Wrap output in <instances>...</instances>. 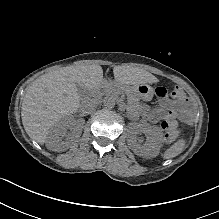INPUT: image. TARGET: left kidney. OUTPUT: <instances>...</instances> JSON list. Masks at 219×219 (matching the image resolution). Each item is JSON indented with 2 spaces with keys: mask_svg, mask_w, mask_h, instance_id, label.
Here are the masks:
<instances>
[{
  "mask_svg": "<svg viewBox=\"0 0 219 219\" xmlns=\"http://www.w3.org/2000/svg\"><path fill=\"white\" fill-rule=\"evenodd\" d=\"M147 134L148 136L146 142L143 145L140 144L144 140L141 137H138L137 140H130L132 144L135 143L133 150L136 153H139V150L141 153H147V158L155 157L158 155V151L161 146V138L163 135L159 131H155L154 133L147 132Z\"/></svg>",
  "mask_w": 219,
  "mask_h": 219,
  "instance_id": "1",
  "label": "left kidney"
}]
</instances>
